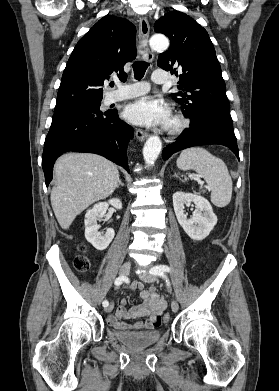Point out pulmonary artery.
<instances>
[{"mask_svg":"<svg viewBox=\"0 0 279 391\" xmlns=\"http://www.w3.org/2000/svg\"><path fill=\"white\" fill-rule=\"evenodd\" d=\"M152 80L155 83L161 84L166 83L168 81V77L162 70H157L152 74ZM149 90V85L147 83H137L134 85H129L127 89L117 90L115 92L110 93L106 101L107 103H115L118 101H122L125 99L134 98L145 94Z\"/></svg>","mask_w":279,"mask_h":391,"instance_id":"e3ab8cb5","label":"pulmonary artery"}]
</instances>
